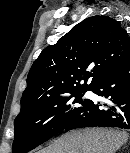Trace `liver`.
I'll list each match as a JSON object with an SVG mask.
<instances>
[{
	"label": "liver",
	"instance_id": "1",
	"mask_svg": "<svg viewBox=\"0 0 130 153\" xmlns=\"http://www.w3.org/2000/svg\"><path fill=\"white\" fill-rule=\"evenodd\" d=\"M126 131L85 128L67 132L39 153H116L128 141Z\"/></svg>",
	"mask_w": 130,
	"mask_h": 153
}]
</instances>
